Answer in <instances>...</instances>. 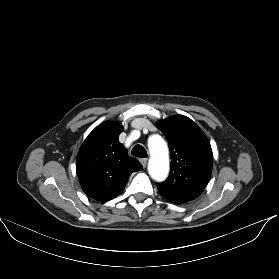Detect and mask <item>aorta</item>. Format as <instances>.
I'll list each match as a JSON object with an SVG mask.
<instances>
[{
	"label": "aorta",
	"mask_w": 279,
	"mask_h": 279,
	"mask_svg": "<svg viewBox=\"0 0 279 279\" xmlns=\"http://www.w3.org/2000/svg\"><path fill=\"white\" fill-rule=\"evenodd\" d=\"M150 159L148 173L157 182L164 181L169 174V153L164 139L159 135H153L148 140Z\"/></svg>",
	"instance_id": "1"
}]
</instances>
